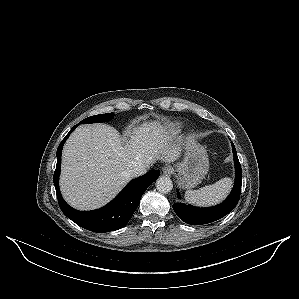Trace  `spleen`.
Returning a JSON list of instances; mask_svg holds the SVG:
<instances>
[{
  "label": "spleen",
  "mask_w": 299,
  "mask_h": 299,
  "mask_svg": "<svg viewBox=\"0 0 299 299\" xmlns=\"http://www.w3.org/2000/svg\"><path fill=\"white\" fill-rule=\"evenodd\" d=\"M231 186L232 180L223 178L198 190H187L185 200L196 206H211L221 202L228 195Z\"/></svg>",
  "instance_id": "spleen-1"
}]
</instances>
